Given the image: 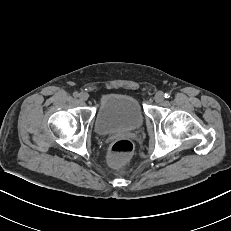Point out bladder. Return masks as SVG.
I'll list each match as a JSON object with an SVG mask.
<instances>
[{
	"mask_svg": "<svg viewBox=\"0 0 231 231\" xmlns=\"http://www.w3.org/2000/svg\"><path fill=\"white\" fill-rule=\"evenodd\" d=\"M144 122V113L136 98L125 94H108L97 109L94 128L98 134L132 131Z\"/></svg>",
	"mask_w": 231,
	"mask_h": 231,
	"instance_id": "bladder-1",
	"label": "bladder"
}]
</instances>
